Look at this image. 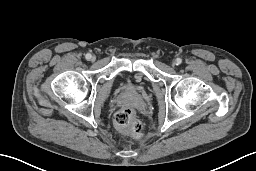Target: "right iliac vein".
<instances>
[{
    "label": "right iliac vein",
    "mask_w": 256,
    "mask_h": 171,
    "mask_svg": "<svg viewBox=\"0 0 256 171\" xmlns=\"http://www.w3.org/2000/svg\"><path fill=\"white\" fill-rule=\"evenodd\" d=\"M90 60H91L92 62H94V61L96 60L95 56H92V57L90 58Z\"/></svg>",
    "instance_id": "63e3f726"
}]
</instances>
